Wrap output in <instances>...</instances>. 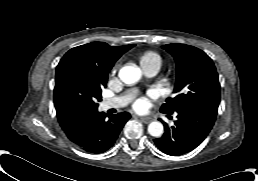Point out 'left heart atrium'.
I'll return each mask as SVG.
<instances>
[{"instance_id": "39dd6f15", "label": "left heart atrium", "mask_w": 258, "mask_h": 181, "mask_svg": "<svg viewBox=\"0 0 258 181\" xmlns=\"http://www.w3.org/2000/svg\"><path fill=\"white\" fill-rule=\"evenodd\" d=\"M146 105H147V100L145 98H140L138 100L135 101L133 107L135 110H143L146 108Z\"/></svg>"}]
</instances>
